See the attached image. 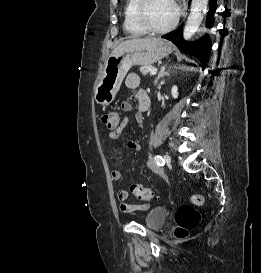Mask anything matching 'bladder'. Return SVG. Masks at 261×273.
Segmentation results:
<instances>
[{
    "instance_id": "1",
    "label": "bladder",
    "mask_w": 261,
    "mask_h": 273,
    "mask_svg": "<svg viewBox=\"0 0 261 273\" xmlns=\"http://www.w3.org/2000/svg\"><path fill=\"white\" fill-rule=\"evenodd\" d=\"M167 219V211L161 207H155L148 211L144 222L148 229L156 230L162 227Z\"/></svg>"
}]
</instances>
